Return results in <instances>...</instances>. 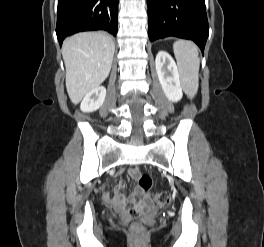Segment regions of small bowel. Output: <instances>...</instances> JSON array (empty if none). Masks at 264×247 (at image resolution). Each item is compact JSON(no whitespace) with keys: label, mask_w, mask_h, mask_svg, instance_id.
<instances>
[{"label":"small bowel","mask_w":264,"mask_h":247,"mask_svg":"<svg viewBox=\"0 0 264 247\" xmlns=\"http://www.w3.org/2000/svg\"><path fill=\"white\" fill-rule=\"evenodd\" d=\"M129 174L132 176V177H137L139 172L137 169L135 168H131L129 170ZM122 187H123V183L120 182L117 187L114 189L113 191V195L111 197V201L114 203V204H117V205H123L125 202H126V196L122 193ZM134 194L135 196H138V197H144V198H148V195L141 189H136L134 191Z\"/></svg>","instance_id":"1"}]
</instances>
